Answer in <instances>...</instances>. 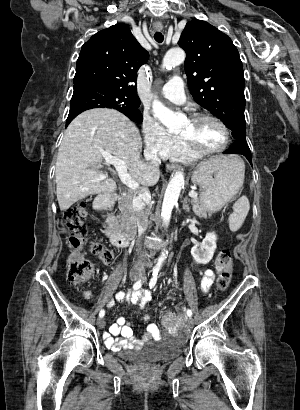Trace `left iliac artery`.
Returning a JSON list of instances; mask_svg holds the SVG:
<instances>
[{"label":"left iliac artery","instance_id":"left-iliac-artery-1","mask_svg":"<svg viewBox=\"0 0 300 410\" xmlns=\"http://www.w3.org/2000/svg\"><path fill=\"white\" fill-rule=\"evenodd\" d=\"M157 279H158V272H153V276L149 282L150 288H153L155 286ZM186 313L189 317L192 316V311L190 309H188Z\"/></svg>","mask_w":300,"mask_h":410}]
</instances>
